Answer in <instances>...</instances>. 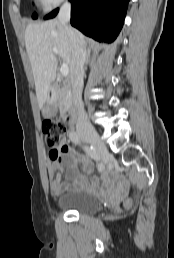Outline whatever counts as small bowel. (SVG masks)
<instances>
[{"label":"small bowel","mask_w":174,"mask_h":258,"mask_svg":"<svg viewBox=\"0 0 174 258\" xmlns=\"http://www.w3.org/2000/svg\"><path fill=\"white\" fill-rule=\"evenodd\" d=\"M58 151V157L53 153ZM51 162L47 165L50 178V192L52 195H59L65 188L84 189L102 195L106 199H118L127 189L125 180H116L115 177L105 172L100 179L95 177L86 178L79 171V165L91 174L94 168L93 162L86 156L74 150L66 139H63L60 148H53L49 152ZM66 168V182L62 181L61 172Z\"/></svg>","instance_id":"c3829d8e"}]
</instances>
